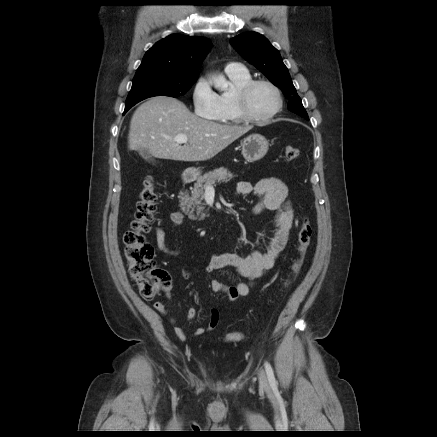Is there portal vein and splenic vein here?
<instances>
[{
  "label": "portal vein and splenic vein",
  "instance_id": "obj_1",
  "mask_svg": "<svg viewBox=\"0 0 437 437\" xmlns=\"http://www.w3.org/2000/svg\"><path fill=\"white\" fill-rule=\"evenodd\" d=\"M174 141L179 144H185L188 142V138L185 135L179 134L174 138ZM206 190H214L212 185L207 186Z\"/></svg>",
  "mask_w": 437,
  "mask_h": 437
}]
</instances>
